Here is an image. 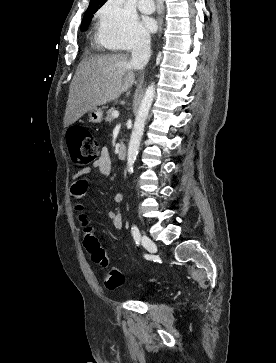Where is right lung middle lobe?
Here are the masks:
<instances>
[{
	"label": "right lung middle lobe",
	"instance_id": "1",
	"mask_svg": "<svg viewBox=\"0 0 276 363\" xmlns=\"http://www.w3.org/2000/svg\"><path fill=\"white\" fill-rule=\"evenodd\" d=\"M99 5H92L89 6L88 9L86 10L82 23H81V27L80 29L82 31H85L88 28V25L93 17V14L96 13V11L98 10Z\"/></svg>",
	"mask_w": 276,
	"mask_h": 363
}]
</instances>
